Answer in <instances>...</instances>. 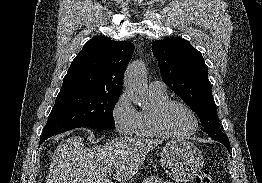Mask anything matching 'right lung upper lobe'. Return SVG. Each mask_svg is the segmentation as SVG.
Instances as JSON below:
<instances>
[{
    "label": "right lung upper lobe",
    "mask_w": 262,
    "mask_h": 183,
    "mask_svg": "<svg viewBox=\"0 0 262 183\" xmlns=\"http://www.w3.org/2000/svg\"><path fill=\"white\" fill-rule=\"evenodd\" d=\"M133 51L131 42L93 37L74 58L59 93L88 90L121 94L124 71Z\"/></svg>",
    "instance_id": "1"
}]
</instances>
